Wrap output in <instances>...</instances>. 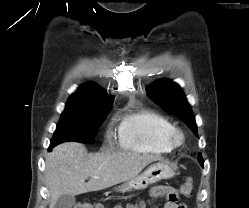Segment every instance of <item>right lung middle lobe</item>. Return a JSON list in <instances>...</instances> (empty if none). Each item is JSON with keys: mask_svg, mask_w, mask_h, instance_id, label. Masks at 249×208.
Masks as SVG:
<instances>
[{"mask_svg": "<svg viewBox=\"0 0 249 208\" xmlns=\"http://www.w3.org/2000/svg\"><path fill=\"white\" fill-rule=\"evenodd\" d=\"M107 112L108 110L96 108L66 107L48 150L65 141L92 142Z\"/></svg>", "mask_w": 249, "mask_h": 208, "instance_id": "right-lung-middle-lobe-1", "label": "right lung middle lobe"}]
</instances>
